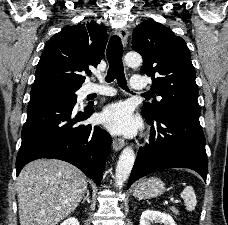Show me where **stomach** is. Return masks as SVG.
<instances>
[{
    "label": "stomach",
    "mask_w": 228,
    "mask_h": 225,
    "mask_svg": "<svg viewBox=\"0 0 228 225\" xmlns=\"http://www.w3.org/2000/svg\"><path fill=\"white\" fill-rule=\"evenodd\" d=\"M165 191V185L161 179L150 177V179H143L139 181L134 189V197L136 199H155L160 197Z\"/></svg>",
    "instance_id": "obj_1"
}]
</instances>
